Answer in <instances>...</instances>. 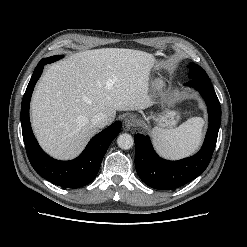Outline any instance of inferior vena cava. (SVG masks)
I'll use <instances>...</instances> for the list:
<instances>
[{
	"label": "inferior vena cava",
	"mask_w": 247,
	"mask_h": 247,
	"mask_svg": "<svg viewBox=\"0 0 247 247\" xmlns=\"http://www.w3.org/2000/svg\"><path fill=\"white\" fill-rule=\"evenodd\" d=\"M91 123L97 128H103L109 123V119L106 114L97 113L92 117Z\"/></svg>",
	"instance_id": "inferior-vena-cava-1"
}]
</instances>
